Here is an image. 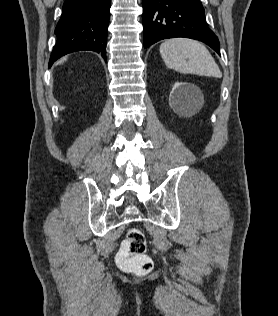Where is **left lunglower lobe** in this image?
Wrapping results in <instances>:
<instances>
[{
  "label": "left lung lower lobe",
  "instance_id": "left-lung-lower-lobe-1",
  "mask_svg": "<svg viewBox=\"0 0 278 316\" xmlns=\"http://www.w3.org/2000/svg\"><path fill=\"white\" fill-rule=\"evenodd\" d=\"M144 48L157 41L187 37L202 41L220 55L217 36L206 24L200 0H142Z\"/></svg>",
  "mask_w": 278,
  "mask_h": 316
}]
</instances>
